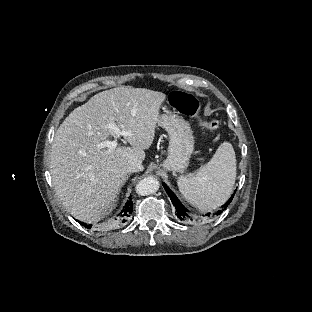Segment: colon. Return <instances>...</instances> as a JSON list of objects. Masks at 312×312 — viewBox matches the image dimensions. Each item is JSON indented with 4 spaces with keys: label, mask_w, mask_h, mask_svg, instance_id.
Listing matches in <instances>:
<instances>
[{
    "label": "colon",
    "mask_w": 312,
    "mask_h": 312,
    "mask_svg": "<svg viewBox=\"0 0 312 312\" xmlns=\"http://www.w3.org/2000/svg\"><path fill=\"white\" fill-rule=\"evenodd\" d=\"M172 107L181 114L196 116L201 109V101L194 95L182 91L174 92L170 98ZM208 129L216 130L222 126L221 120H199Z\"/></svg>",
    "instance_id": "1"
}]
</instances>
